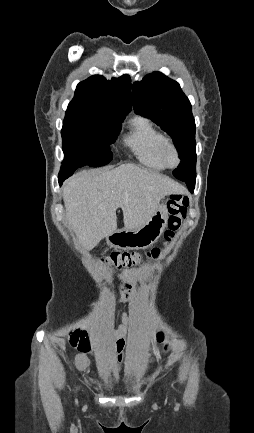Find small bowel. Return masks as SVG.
<instances>
[{
    "instance_id": "1",
    "label": "small bowel",
    "mask_w": 254,
    "mask_h": 433,
    "mask_svg": "<svg viewBox=\"0 0 254 433\" xmlns=\"http://www.w3.org/2000/svg\"><path fill=\"white\" fill-rule=\"evenodd\" d=\"M128 287V282H123L121 284V290L126 294L129 293ZM137 326L138 323L134 316L128 315L126 313L122 315L121 323L116 328L117 339L115 342V349L118 353L117 360L119 363L123 361V350L126 345V332L129 328H136ZM75 364L79 370H86L89 366V359L85 354L79 353L75 356Z\"/></svg>"
}]
</instances>
